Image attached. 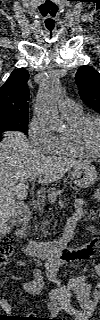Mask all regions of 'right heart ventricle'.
<instances>
[{"instance_id": "e07e8e85", "label": "right heart ventricle", "mask_w": 100, "mask_h": 320, "mask_svg": "<svg viewBox=\"0 0 100 320\" xmlns=\"http://www.w3.org/2000/svg\"><path fill=\"white\" fill-rule=\"evenodd\" d=\"M63 115L70 125V130L83 117V113L81 110L72 113H63ZM70 130L65 133L54 135L53 145L49 153L57 156L66 157H89L90 153H88L86 150H84L76 142L73 141L70 134Z\"/></svg>"}]
</instances>
